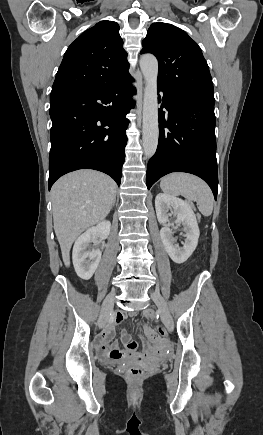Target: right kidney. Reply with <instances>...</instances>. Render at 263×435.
<instances>
[{
	"label": "right kidney",
	"instance_id": "obj_1",
	"mask_svg": "<svg viewBox=\"0 0 263 435\" xmlns=\"http://www.w3.org/2000/svg\"><path fill=\"white\" fill-rule=\"evenodd\" d=\"M111 223L104 220L81 234L75 241L72 253L73 265L77 275L83 280H89L95 273L100 260L101 250H90V244L97 238L104 240L110 233Z\"/></svg>",
	"mask_w": 263,
	"mask_h": 435
}]
</instances>
